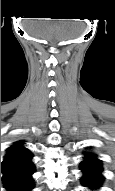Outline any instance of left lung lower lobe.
Wrapping results in <instances>:
<instances>
[{
	"mask_svg": "<svg viewBox=\"0 0 115 191\" xmlns=\"http://www.w3.org/2000/svg\"><path fill=\"white\" fill-rule=\"evenodd\" d=\"M81 170L83 171L81 180L84 186L91 189H98L101 186L104 177L99 159L86 157L81 163Z\"/></svg>",
	"mask_w": 115,
	"mask_h": 191,
	"instance_id": "left-lung-lower-lobe-1",
	"label": "left lung lower lobe"
}]
</instances>
